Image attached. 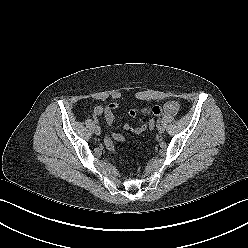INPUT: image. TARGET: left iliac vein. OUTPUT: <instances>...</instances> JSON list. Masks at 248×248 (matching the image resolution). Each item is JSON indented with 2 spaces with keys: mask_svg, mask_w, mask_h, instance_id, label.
Segmentation results:
<instances>
[{
  "mask_svg": "<svg viewBox=\"0 0 248 248\" xmlns=\"http://www.w3.org/2000/svg\"><path fill=\"white\" fill-rule=\"evenodd\" d=\"M157 129L160 134L164 133L165 131V127L163 125H158Z\"/></svg>",
  "mask_w": 248,
  "mask_h": 248,
  "instance_id": "obj_1",
  "label": "left iliac vein"
}]
</instances>
